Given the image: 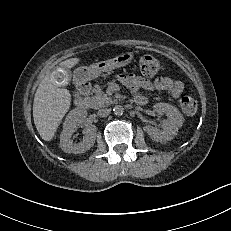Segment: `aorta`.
<instances>
[{
  "instance_id": "1",
  "label": "aorta",
  "mask_w": 231,
  "mask_h": 231,
  "mask_svg": "<svg viewBox=\"0 0 231 231\" xmlns=\"http://www.w3.org/2000/svg\"><path fill=\"white\" fill-rule=\"evenodd\" d=\"M113 112H114L115 115L121 116V115H123V113H124V108H123V106H121V105H116V106L113 108Z\"/></svg>"
}]
</instances>
